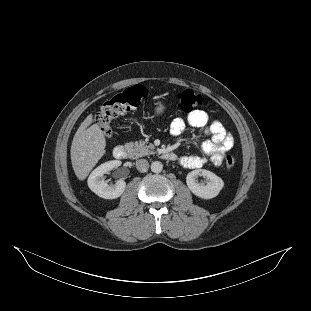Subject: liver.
<instances>
[{
  "instance_id": "6515ba94",
  "label": "liver",
  "mask_w": 311,
  "mask_h": 311,
  "mask_svg": "<svg viewBox=\"0 0 311 311\" xmlns=\"http://www.w3.org/2000/svg\"><path fill=\"white\" fill-rule=\"evenodd\" d=\"M92 116H88L74 135L71 146V160L75 174L84 179L103 155L105 139L96 123L90 124Z\"/></svg>"
}]
</instances>
